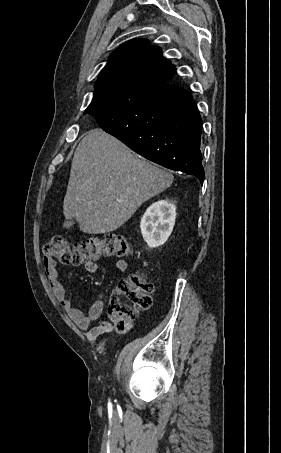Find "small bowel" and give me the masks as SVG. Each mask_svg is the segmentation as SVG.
I'll return each mask as SVG.
<instances>
[{
	"mask_svg": "<svg viewBox=\"0 0 281 453\" xmlns=\"http://www.w3.org/2000/svg\"><path fill=\"white\" fill-rule=\"evenodd\" d=\"M116 268L119 273L126 272L128 263L124 259L116 261ZM87 269L89 272H96L98 265L96 263H88ZM44 270L48 278L50 289L53 290L55 296L60 300L62 306L74 320L80 330L85 331V336L89 340L98 339L102 334L109 333L113 330V325L109 321L100 320L104 309L103 295L93 301L89 307L87 314H83L74 304L72 299L66 294L63 284L59 279L57 263L54 259H46L44 261ZM93 322H98L97 325L89 329Z\"/></svg>",
	"mask_w": 281,
	"mask_h": 453,
	"instance_id": "small-bowel-1",
	"label": "small bowel"
}]
</instances>
